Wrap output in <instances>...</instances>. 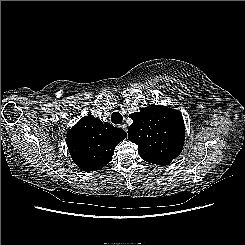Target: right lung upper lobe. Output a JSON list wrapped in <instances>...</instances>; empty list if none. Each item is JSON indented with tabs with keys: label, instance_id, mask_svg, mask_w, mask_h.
<instances>
[{
	"label": "right lung upper lobe",
	"instance_id": "1",
	"mask_svg": "<svg viewBox=\"0 0 245 245\" xmlns=\"http://www.w3.org/2000/svg\"><path fill=\"white\" fill-rule=\"evenodd\" d=\"M126 136L123 129L103 123L89 114L69 130L66 140L75 164L90 172L102 169L108 164L115 147Z\"/></svg>",
	"mask_w": 245,
	"mask_h": 245
}]
</instances>
